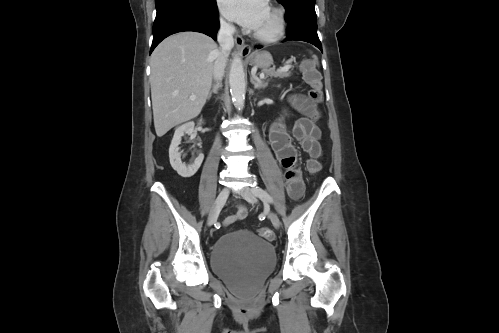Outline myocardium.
<instances>
[{
  "mask_svg": "<svg viewBox=\"0 0 499 333\" xmlns=\"http://www.w3.org/2000/svg\"><path fill=\"white\" fill-rule=\"evenodd\" d=\"M269 11L274 15L276 19V28L272 33H262L259 31H254L253 36L257 40L264 43H273L281 39L286 31V17L283 9L271 6Z\"/></svg>",
  "mask_w": 499,
  "mask_h": 333,
  "instance_id": "myocardium-1",
  "label": "myocardium"
}]
</instances>
